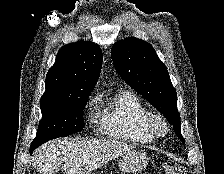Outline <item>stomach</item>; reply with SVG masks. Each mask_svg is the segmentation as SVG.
Listing matches in <instances>:
<instances>
[{"label":"stomach","instance_id":"obj_1","mask_svg":"<svg viewBox=\"0 0 224 174\" xmlns=\"http://www.w3.org/2000/svg\"><path fill=\"white\" fill-rule=\"evenodd\" d=\"M148 157L144 151L130 150L123 154L119 162V168L122 173H136L143 170L148 162ZM94 174V173H92Z\"/></svg>","mask_w":224,"mask_h":174}]
</instances>
